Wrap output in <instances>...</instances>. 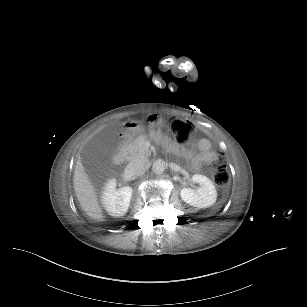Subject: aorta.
Masks as SVG:
<instances>
[{
	"instance_id": "762f6f07",
	"label": "aorta",
	"mask_w": 307,
	"mask_h": 307,
	"mask_svg": "<svg viewBox=\"0 0 307 307\" xmlns=\"http://www.w3.org/2000/svg\"><path fill=\"white\" fill-rule=\"evenodd\" d=\"M167 164L164 160L162 159H157L154 161L153 165H152V170L156 173V174H162L164 172V170L166 169Z\"/></svg>"
}]
</instances>
